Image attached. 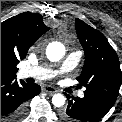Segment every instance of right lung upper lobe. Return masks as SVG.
<instances>
[{
    "instance_id": "cb5924a9",
    "label": "right lung upper lobe",
    "mask_w": 122,
    "mask_h": 122,
    "mask_svg": "<svg viewBox=\"0 0 122 122\" xmlns=\"http://www.w3.org/2000/svg\"><path fill=\"white\" fill-rule=\"evenodd\" d=\"M49 30L43 17L24 12L1 23V77H16L20 60L28 49Z\"/></svg>"
}]
</instances>
